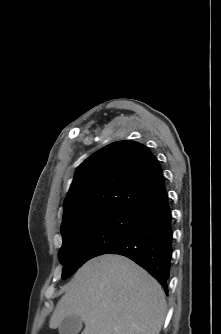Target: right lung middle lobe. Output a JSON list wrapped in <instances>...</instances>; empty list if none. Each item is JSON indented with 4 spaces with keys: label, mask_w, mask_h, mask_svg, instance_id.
Here are the masks:
<instances>
[{
    "label": "right lung middle lobe",
    "mask_w": 221,
    "mask_h": 334,
    "mask_svg": "<svg viewBox=\"0 0 221 334\" xmlns=\"http://www.w3.org/2000/svg\"><path fill=\"white\" fill-rule=\"evenodd\" d=\"M137 214L122 211L108 212L85 219L64 235L58 253L63 265L62 279L70 277L87 260L105 254L122 239Z\"/></svg>",
    "instance_id": "right-lung-middle-lobe-1"
}]
</instances>
